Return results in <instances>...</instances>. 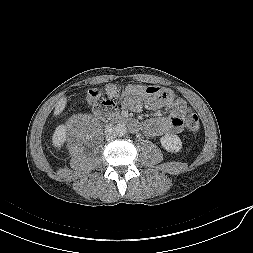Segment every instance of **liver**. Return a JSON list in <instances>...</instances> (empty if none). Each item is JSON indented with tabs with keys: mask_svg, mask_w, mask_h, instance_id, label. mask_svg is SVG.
<instances>
[{
	"mask_svg": "<svg viewBox=\"0 0 253 253\" xmlns=\"http://www.w3.org/2000/svg\"><path fill=\"white\" fill-rule=\"evenodd\" d=\"M67 103V98L63 97L61 98L55 105V109H54V115L57 116L59 115L65 108Z\"/></svg>",
	"mask_w": 253,
	"mask_h": 253,
	"instance_id": "1",
	"label": "liver"
}]
</instances>
